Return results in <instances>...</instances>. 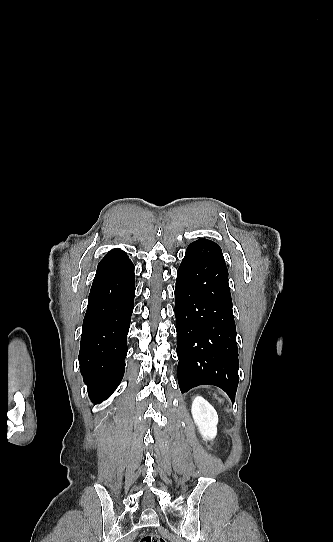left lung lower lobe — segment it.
Masks as SVG:
<instances>
[{
    "label": "left lung lower lobe",
    "mask_w": 333,
    "mask_h": 542,
    "mask_svg": "<svg viewBox=\"0 0 333 542\" xmlns=\"http://www.w3.org/2000/svg\"><path fill=\"white\" fill-rule=\"evenodd\" d=\"M228 270L218 244L198 239L177 271L175 316L178 383L223 389L232 402L238 386V347Z\"/></svg>",
    "instance_id": "0a47b994"
}]
</instances>
